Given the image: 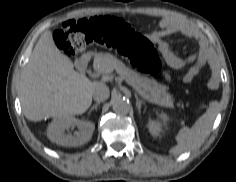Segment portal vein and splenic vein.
<instances>
[{
	"mask_svg": "<svg viewBox=\"0 0 236 182\" xmlns=\"http://www.w3.org/2000/svg\"><path fill=\"white\" fill-rule=\"evenodd\" d=\"M101 72V71H100ZM126 82L128 85H130L131 87H133L143 98H145L146 100H148L149 102L152 103H156V104H161L158 101H156L154 98H152L151 96H149L148 94L145 93L144 90H142L134 81L130 80V79H126ZM162 105V104H161Z\"/></svg>",
	"mask_w": 236,
	"mask_h": 182,
	"instance_id": "portal-vein-and-splenic-vein-1",
	"label": "portal vein and splenic vein"
}]
</instances>
